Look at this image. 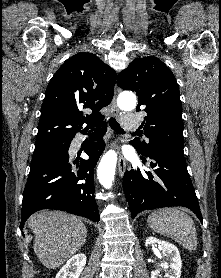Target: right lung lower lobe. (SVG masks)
Wrapping results in <instances>:
<instances>
[{
    "label": "right lung lower lobe",
    "instance_id": "obj_1",
    "mask_svg": "<svg viewBox=\"0 0 221 278\" xmlns=\"http://www.w3.org/2000/svg\"><path fill=\"white\" fill-rule=\"evenodd\" d=\"M91 142L84 150L88 160H69L68 150L71 137L59 149L51 152L36 165L30 166V173L23 192L20 229L30 215L41 209H56L86 217L99 222L100 216L94 197V168L101 156L106 132L104 121L98 125ZM88 130L81 133L86 134ZM79 167L74 170L73 167Z\"/></svg>",
    "mask_w": 221,
    "mask_h": 278
}]
</instances>
